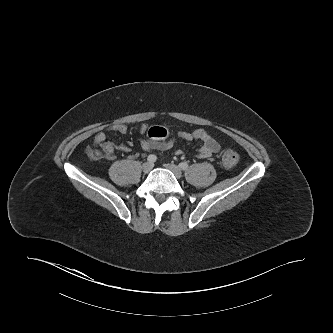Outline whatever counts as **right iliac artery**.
<instances>
[{
	"label": "right iliac artery",
	"mask_w": 333,
	"mask_h": 333,
	"mask_svg": "<svg viewBox=\"0 0 333 333\" xmlns=\"http://www.w3.org/2000/svg\"><path fill=\"white\" fill-rule=\"evenodd\" d=\"M156 160H157V157L155 155H149L147 157V161L150 163H154V162H156Z\"/></svg>",
	"instance_id": "obj_1"
}]
</instances>
